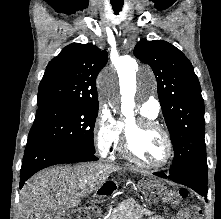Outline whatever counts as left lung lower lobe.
I'll return each mask as SVG.
<instances>
[{
  "label": "left lung lower lobe",
  "instance_id": "0a47b994",
  "mask_svg": "<svg viewBox=\"0 0 221 219\" xmlns=\"http://www.w3.org/2000/svg\"><path fill=\"white\" fill-rule=\"evenodd\" d=\"M207 162H197L191 164L176 173H169L168 175L162 172H156L154 175L161 178H170L174 182L185 185L201 196H207ZM207 201V198H205Z\"/></svg>",
  "mask_w": 221,
  "mask_h": 219
}]
</instances>
